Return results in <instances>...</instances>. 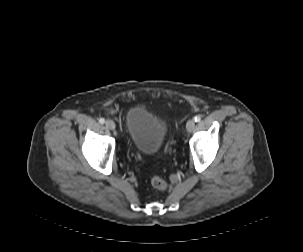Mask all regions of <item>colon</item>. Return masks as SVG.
<instances>
[{
	"label": "colon",
	"instance_id": "1",
	"mask_svg": "<svg viewBox=\"0 0 303 252\" xmlns=\"http://www.w3.org/2000/svg\"><path fill=\"white\" fill-rule=\"evenodd\" d=\"M151 183L154 188H156L160 191H164L167 188V182L164 179L157 177V176H155L151 179Z\"/></svg>",
	"mask_w": 303,
	"mask_h": 252
}]
</instances>
